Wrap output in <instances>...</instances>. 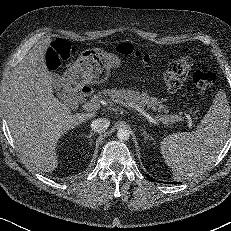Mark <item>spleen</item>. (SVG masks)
I'll use <instances>...</instances> for the list:
<instances>
[{
	"instance_id": "3e777b00",
	"label": "spleen",
	"mask_w": 231,
	"mask_h": 231,
	"mask_svg": "<svg viewBox=\"0 0 231 231\" xmlns=\"http://www.w3.org/2000/svg\"><path fill=\"white\" fill-rule=\"evenodd\" d=\"M230 113L225 93L219 92L195 131L162 140L161 154L174 180H189L210 168L226 142Z\"/></svg>"
}]
</instances>
